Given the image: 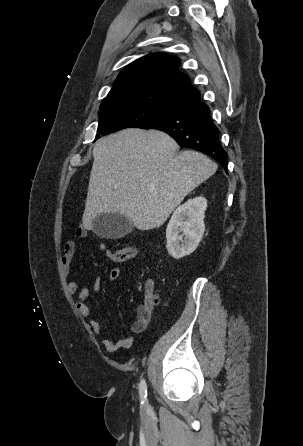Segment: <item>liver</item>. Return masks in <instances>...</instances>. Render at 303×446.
<instances>
[{
  "mask_svg": "<svg viewBox=\"0 0 303 446\" xmlns=\"http://www.w3.org/2000/svg\"><path fill=\"white\" fill-rule=\"evenodd\" d=\"M166 133L125 129L101 138L93 148L85 210L87 230L100 214L117 213L140 230L160 227L194 188L211 177L217 164L187 150Z\"/></svg>",
  "mask_w": 303,
  "mask_h": 446,
  "instance_id": "obj_1",
  "label": "liver"
}]
</instances>
